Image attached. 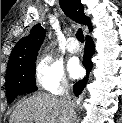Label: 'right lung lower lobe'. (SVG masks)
I'll return each mask as SVG.
<instances>
[{"label": "right lung lower lobe", "mask_w": 122, "mask_h": 123, "mask_svg": "<svg viewBox=\"0 0 122 123\" xmlns=\"http://www.w3.org/2000/svg\"><path fill=\"white\" fill-rule=\"evenodd\" d=\"M94 51H95V47H94L93 40L89 36H87L84 57H83V64L87 70V77H85L83 80H80L74 84L73 89L76 96L81 94L82 90L87 84L88 73L92 69L91 57L94 54Z\"/></svg>", "instance_id": "obj_1"}]
</instances>
